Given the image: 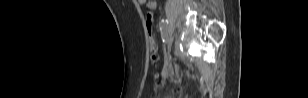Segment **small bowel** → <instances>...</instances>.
<instances>
[{
	"mask_svg": "<svg viewBox=\"0 0 308 98\" xmlns=\"http://www.w3.org/2000/svg\"><path fill=\"white\" fill-rule=\"evenodd\" d=\"M138 2L140 5L146 7L149 10L155 9L157 5L155 0H139Z\"/></svg>",
	"mask_w": 308,
	"mask_h": 98,
	"instance_id": "1",
	"label": "small bowel"
}]
</instances>
